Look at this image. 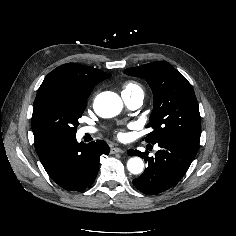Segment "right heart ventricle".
<instances>
[{
  "label": "right heart ventricle",
  "mask_w": 236,
  "mask_h": 236,
  "mask_svg": "<svg viewBox=\"0 0 236 236\" xmlns=\"http://www.w3.org/2000/svg\"><path fill=\"white\" fill-rule=\"evenodd\" d=\"M136 93H143V89L140 84H138L135 81H127L123 85V91L122 94H128V95H133Z\"/></svg>",
  "instance_id": "right-heart-ventricle-1"
}]
</instances>
